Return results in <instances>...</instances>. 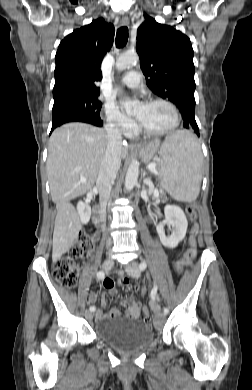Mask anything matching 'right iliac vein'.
Listing matches in <instances>:
<instances>
[{"label":"right iliac vein","mask_w":252,"mask_h":390,"mask_svg":"<svg viewBox=\"0 0 252 390\" xmlns=\"http://www.w3.org/2000/svg\"><path fill=\"white\" fill-rule=\"evenodd\" d=\"M113 260L112 259H106V260H104V262H103V269L106 271V272H108V271H110L111 269H112V267H113ZM85 316H86V318H87V320H89V321H91L92 320V318H93V313L91 312V311H86V313H85Z\"/></svg>","instance_id":"1"}]
</instances>
